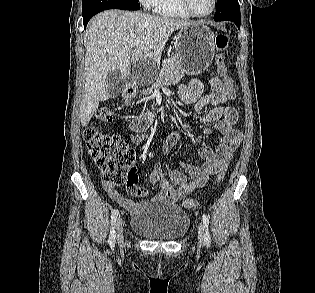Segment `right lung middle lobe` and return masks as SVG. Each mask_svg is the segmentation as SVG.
Segmentation results:
<instances>
[{
	"label": "right lung middle lobe",
	"mask_w": 315,
	"mask_h": 293,
	"mask_svg": "<svg viewBox=\"0 0 315 293\" xmlns=\"http://www.w3.org/2000/svg\"><path fill=\"white\" fill-rule=\"evenodd\" d=\"M128 1H132V2H138V0H128Z\"/></svg>",
	"instance_id": "obj_1"
}]
</instances>
